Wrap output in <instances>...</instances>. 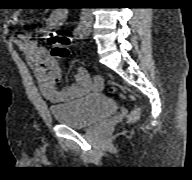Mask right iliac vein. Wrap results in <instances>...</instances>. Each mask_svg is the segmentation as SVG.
<instances>
[{
    "label": "right iliac vein",
    "instance_id": "right-iliac-vein-1",
    "mask_svg": "<svg viewBox=\"0 0 192 180\" xmlns=\"http://www.w3.org/2000/svg\"><path fill=\"white\" fill-rule=\"evenodd\" d=\"M82 27L84 30H88L90 27V23L87 21L82 22Z\"/></svg>",
    "mask_w": 192,
    "mask_h": 180
}]
</instances>
